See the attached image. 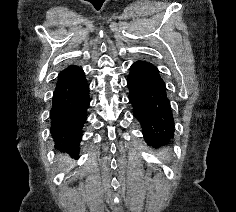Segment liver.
I'll use <instances>...</instances> for the list:
<instances>
[{"mask_svg":"<svg viewBox=\"0 0 236 212\" xmlns=\"http://www.w3.org/2000/svg\"><path fill=\"white\" fill-rule=\"evenodd\" d=\"M63 162H64L66 165H68V163H69V158L63 159Z\"/></svg>","mask_w":236,"mask_h":212,"instance_id":"1","label":"liver"}]
</instances>
